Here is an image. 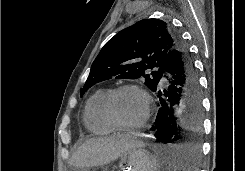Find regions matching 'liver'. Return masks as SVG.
I'll return each instance as SVG.
<instances>
[{
  "instance_id": "liver-1",
  "label": "liver",
  "mask_w": 245,
  "mask_h": 171,
  "mask_svg": "<svg viewBox=\"0 0 245 171\" xmlns=\"http://www.w3.org/2000/svg\"><path fill=\"white\" fill-rule=\"evenodd\" d=\"M134 134H114L85 141L72 155L69 164L78 168L101 166L122 157L130 149L144 147Z\"/></svg>"
}]
</instances>
